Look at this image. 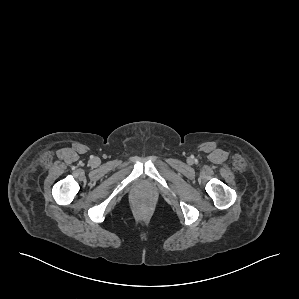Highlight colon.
I'll return each mask as SVG.
<instances>
[{
    "mask_svg": "<svg viewBox=\"0 0 299 299\" xmlns=\"http://www.w3.org/2000/svg\"><path fill=\"white\" fill-rule=\"evenodd\" d=\"M137 208L140 212L144 213L147 212L150 208V204L147 201H141L138 205Z\"/></svg>",
    "mask_w": 299,
    "mask_h": 299,
    "instance_id": "1",
    "label": "colon"
}]
</instances>
